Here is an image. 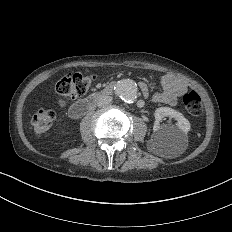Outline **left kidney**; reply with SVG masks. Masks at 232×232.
Returning <instances> with one entry per match:
<instances>
[{
  "label": "left kidney",
  "mask_w": 232,
  "mask_h": 232,
  "mask_svg": "<svg viewBox=\"0 0 232 232\" xmlns=\"http://www.w3.org/2000/svg\"><path fill=\"white\" fill-rule=\"evenodd\" d=\"M154 116L153 134L149 141L151 147L178 150L188 144L190 123L182 113L169 107H160L156 109ZM164 117L174 118L177 121L176 125H160Z\"/></svg>",
  "instance_id": "left-kidney-1"
}]
</instances>
